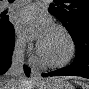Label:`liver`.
I'll use <instances>...</instances> for the list:
<instances>
[{"label": "liver", "instance_id": "1", "mask_svg": "<svg viewBox=\"0 0 89 89\" xmlns=\"http://www.w3.org/2000/svg\"><path fill=\"white\" fill-rule=\"evenodd\" d=\"M7 81H10L11 83H13L14 87H27V82H26L25 78L7 77L6 79L1 78V87H2L1 89H7V88H5L6 87L5 83ZM50 81L62 83V82H64V79H62V78H58V79L57 78H49L47 80L41 81V83L39 85H44ZM15 89H21V88H15Z\"/></svg>", "mask_w": 89, "mask_h": 89}]
</instances>
